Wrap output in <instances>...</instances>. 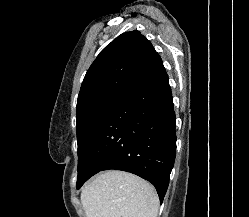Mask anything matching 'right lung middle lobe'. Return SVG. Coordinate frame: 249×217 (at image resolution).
Returning a JSON list of instances; mask_svg holds the SVG:
<instances>
[{
	"label": "right lung middle lobe",
	"mask_w": 249,
	"mask_h": 217,
	"mask_svg": "<svg viewBox=\"0 0 249 217\" xmlns=\"http://www.w3.org/2000/svg\"><path fill=\"white\" fill-rule=\"evenodd\" d=\"M124 93L120 91L105 92L77 105L78 166L95 131Z\"/></svg>",
	"instance_id": "right-lung-middle-lobe-1"
}]
</instances>
